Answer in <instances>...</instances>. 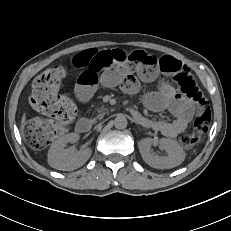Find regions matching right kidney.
Segmentation results:
<instances>
[{"mask_svg":"<svg viewBox=\"0 0 231 231\" xmlns=\"http://www.w3.org/2000/svg\"><path fill=\"white\" fill-rule=\"evenodd\" d=\"M79 140V135L69 133L55 141L48 151V163L51 167L70 171L81 167L91 156V150L84 148L76 151L74 148L65 149L67 143H75Z\"/></svg>","mask_w":231,"mask_h":231,"instance_id":"obj_1","label":"right kidney"}]
</instances>
